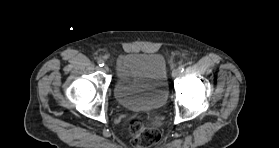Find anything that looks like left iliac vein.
<instances>
[{
  "instance_id": "1",
  "label": "left iliac vein",
  "mask_w": 279,
  "mask_h": 148,
  "mask_svg": "<svg viewBox=\"0 0 279 148\" xmlns=\"http://www.w3.org/2000/svg\"><path fill=\"white\" fill-rule=\"evenodd\" d=\"M179 74H180V70H179L178 68H176V69H174V70L172 71V76H173L174 78L177 77Z\"/></svg>"
}]
</instances>
